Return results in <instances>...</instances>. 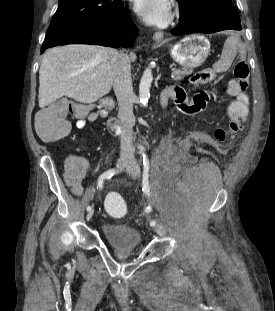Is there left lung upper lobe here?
Returning <instances> with one entry per match:
<instances>
[{
    "mask_svg": "<svg viewBox=\"0 0 275 311\" xmlns=\"http://www.w3.org/2000/svg\"><path fill=\"white\" fill-rule=\"evenodd\" d=\"M177 2L183 16H191L208 9H226L234 18L240 19L232 0H177Z\"/></svg>",
    "mask_w": 275,
    "mask_h": 311,
    "instance_id": "left-lung-upper-lobe-1",
    "label": "left lung upper lobe"
}]
</instances>
